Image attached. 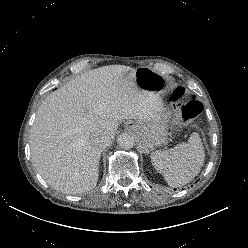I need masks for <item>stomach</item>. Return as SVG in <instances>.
Wrapping results in <instances>:
<instances>
[{"mask_svg": "<svg viewBox=\"0 0 248 248\" xmlns=\"http://www.w3.org/2000/svg\"><path fill=\"white\" fill-rule=\"evenodd\" d=\"M136 84L139 88L161 93L165 87V78L148 67H139L134 73ZM170 112L162 108L159 118L152 121H130L129 127L136 134L139 145L148 151L156 146L164 144L168 138V117Z\"/></svg>", "mask_w": 248, "mask_h": 248, "instance_id": "stomach-1", "label": "stomach"}]
</instances>
